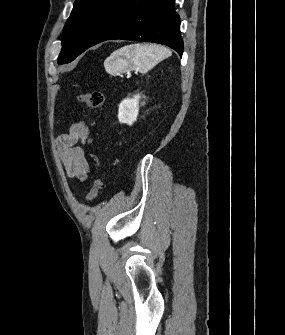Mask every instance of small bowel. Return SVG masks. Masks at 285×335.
Segmentation results:
<instances>
[{"label":"small bowel","mask_w":285,"mask_h":335,"mask_svg":"<svg viewBox=\"0 0 285 335\" xmlns=\"http://www.w3.org/2000/svg\"><path fill=\"white\" fill-rule=\"evenodd\" d=\"M89 137L88 126L80 121L73 123L69 131L62 134L57 140V148L69 178L85 180L89 171V165L84 149L77 145L80 141L85 143Z\"/></svg>","instance_id":"small-bowel-1"}]
</instances>
